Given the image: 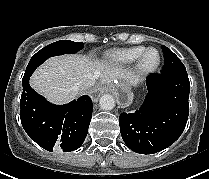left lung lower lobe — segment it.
Returning <instances> with one entry per match:
<instances>
[{
  "instance_id": "0a47b994",
  "label": "left lung lower lobe",
  "mask_w": 209,
  "mask_h": 179,
  "mask_svg": "<svg viewBox=\"0 0 209 179\" xmlns=\"http://www.w3.org/2000/svg\"><path fill=\"white\" fill-rule=\"evenodd\" d=\"M148 94L139 110L122 113V138L132 151L153 154L172 145L182 134L189 114V78L185 70L147 77Z\"/></svg>"
}]
</instances>
